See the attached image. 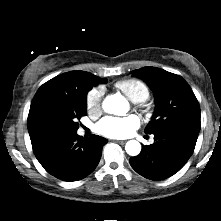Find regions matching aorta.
Segmentation results:
<instances>
[{
    "label": "aorta",
    "mask_w": 221,
    "mask_h": 221,
    "mask_svg": "<svg viewBox=\"0 0 221 221\" xmlns=\"http://www.w3.org/2000/svg\"><path fill=\"white\" fill-rule=\"evenodd\" d=\"M105 112L122 115L128 110V101L120 94L107 96L102 104ZM125 150L130 156H137L141 151V144L136 140H130L125 145Z\"/></svg>",
    "instance_id": "aorta-1"
}]
</instances>
